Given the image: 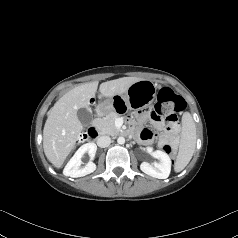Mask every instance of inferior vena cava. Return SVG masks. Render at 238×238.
<instances>
[{
  "mask_svg": "<svg viewBox=\"0 0 238 238\" xmlns=\"http://www.w3.org/2000/svg\"><path fill=\"white\" fill-rule=\"evenodd\" d=\"M111 143V138L109 136H100L97 139V145L101 148L108 147Z\"/></svg>",
  "mask_w": 238,
  "mask_h": 238,
  "instance_id": "obj_1",
  "label": "inferior vena cava"
}]
</instances>
